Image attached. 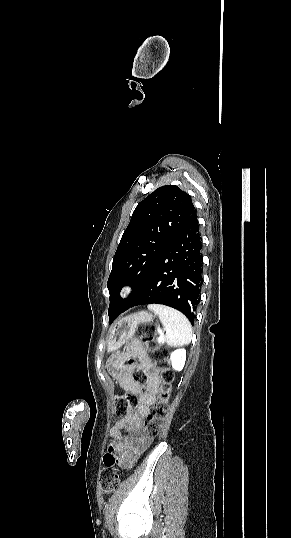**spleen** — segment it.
Segmentation results:
<instances>
[{"instance_id": "obj_1", "label": "spleen", "mask_w": 291, "mask_h": 538, "mask_svg": "<svg viewBox=\"0 0 291 538\" xmlns=\"http://www.w3.org/2000/svg\"><path fill=\"white\" fill-rule=\"evenodd\" d=\"M148 309L158 314L168 344L176 346L188 344L191 341V324L181 312L159 304H151Z\"/></svg>"}]
</instances>
